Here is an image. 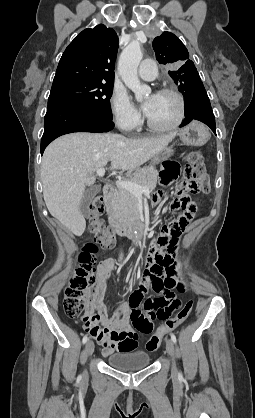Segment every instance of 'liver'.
<instances>
[{
    "mask_svg": "<svg viewBox=\"0 0 255 418\" xmlns=\"http://www.w3.org/2000/svg\"><path fill=\"white\" fill-rule=\"evenodd\" d=\"M176 132L146 139L105 133H71L59 137L45 150L41 163L43 197L50 214L76 236L86 221L79 205L86 187L95 183V172L110 161V170L132 172L167 148Z\"/></svg>",
    "mask_w": 255,
    "mask_h": 418,
    "instance_id": "6515ba94",
    "label": "liver"
}]
</instances>
